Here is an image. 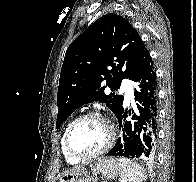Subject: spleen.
Wrapping results in <instances>:
<instances>
[{
    "label": "spleen",
    "mask_w": 196,
    "mask_h": 182,
    "mask_svg": "<svg viewBox=\"0 0 196 182\" xmlns=\"http://www.w3.org/2000/svg\"><path fill=\"white\" fill-rule=\"evenodd\" d=\"M120 175L123 182H142L145 173L142 167L132 160L121 157L118 160Z\"/></svg>",
    "instance_id": "1"
}]
</instances>
